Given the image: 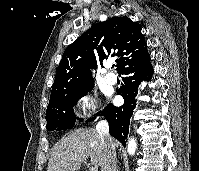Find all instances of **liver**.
<instances>
[{"label": "liver", "mask_w": 199, "mask_h": 171, "mask_svg": "<svg viewBox=\"0 0 199 171\" xmlns=\"http://www.w3.org/2000/svg\"><path fill=\"white\" fill-rule=\"evenodd\" d=\"M113 141L118 147L119 143ZM106 154V142L96 129H75L54 146L47 171H78L81 160L87 157H90L94 166L102 167Z\"/></svg>", "instance_id": "liver-1"}]
</instances>
